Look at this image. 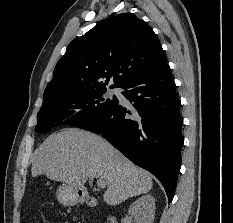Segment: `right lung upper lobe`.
<instances>
[{
  "instance_id": "obj_1",
  "label": "right lung upper lobe",
  "mask_w": 233,
  "mask_h": 223,
  "mask_svg": "<svg viewBox=\"0 0 233 223\" xmlns=\"http://www.w3.org/2000/svg\"><path fill=\"white\" fill-rule=\"evenodd\" d=\"M166 63L151 27L131 14H119L73 40L56 64L43 105L93 88L121 87ZM121 74V75H119Z\"/></svg>"
}]
</instances>
